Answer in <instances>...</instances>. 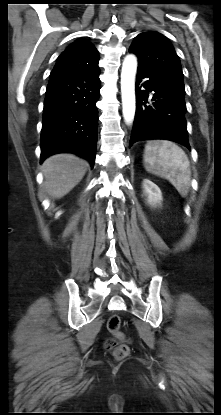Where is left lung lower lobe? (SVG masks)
<instances>
[{"label": "left lung lower lobe", "mask_w": 221, "mask_h": 415, "mask_svg": "<svg viewBox=\"0 0 221 415\" xmlns=\"http://www.w3.org/2000/svg\"><path fill=\"white\" fill-rule=\"evenodd\" d=\"M148 78L141 86L140 82ZM141 87L144 90H141ZM152 92V103L148 102ZM185 91L137 70L136 113L129 147L137 141L165 139L190 149L186 126Z\"/></svg>", "instance_id": "0a47b994"}]
</instances>
